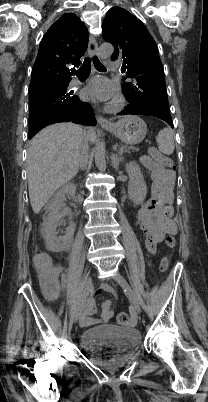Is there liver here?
Listing matches in <instances>:
<instances>
[{
	"label": "liver",
	"instance_id": "6515ba94",
	"mask_svg": "<svg viewBox=\"0 0 208 402\" xmlns=\"http://www.w3.org/2000/svg\"><path fill=\"white\" fill-rule=\"evenodd\" d=\"M82 136L90 142L96 140L93 128L82 130L75 124H53L31 140L26 164L30 204L35 214L41 212L58 188L75 178Z\"/></svg>",
	"mask_w": 208,
	"mask_h": 402
}]
</instances>
